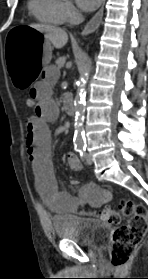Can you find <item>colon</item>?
I'll return each instance as SVG.
<instances>
[{
    "label": "colon",
    "mask_w": 148,
    "mask_h": 279,
    "mask_svg": "<svg viewBox=\"0 0 148 279\" xmlns=\"http://www.w3.org/2000/svg\"><path fill=\"white\" fill-rule=\"evenodd\" d=\"M25 104L35 108V97L29 94ZM98 214L103 221L118 225L112 237L111 262L125 265L148 230V210L133 200H124L117 209L104 208Z\"/></svg>",
    "instance_id": "colon-1"
}]
</instances>
